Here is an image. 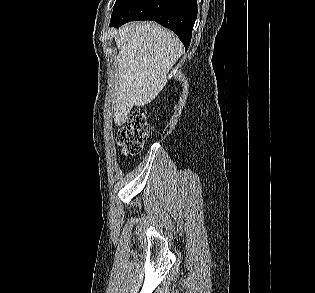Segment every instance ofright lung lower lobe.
Returning a JSON list of instances; mask_svg holds the SVG:
<instances>
[{
  "label": "right lung lower lobe",
  "mask_w": 315,
  "mask_h": 293,
  "mask_svg": "<svg viewBox=\"0 0 315 293\" xmlns=\"http://www.w3.org/2000/svg\"><path fill=\"white\" fill-rule=\"evenodd\" d=\"M196 18V0H116L110 25L153 20L173 30L187 49Z\"/></svg>",
  "instance_id": "1"
}]
</instances>
